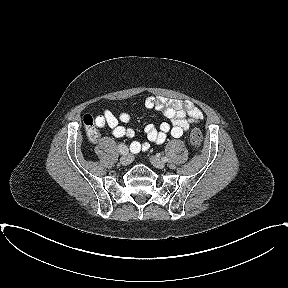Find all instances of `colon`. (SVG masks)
I'll return each mask as SVG.
<instances>
[{
    "label": "colon",
    "mask_w": 288,
    "mask_h": 288,
    "mask_svg": "<svg viewBox=\"0 0 288 288\" xmlns=\"http://www.w3.org/2000/svg\"><path fill=\"white\" fill-rule=\"evenodd\" d=\"M83 123H84L88 138L91 141L97 140L99 137V132L95 126V122L93 118L90 115H85L83 117ZM202 140H203V136H202L201 131L197 127L192 128L190 132V142L192 146L195 149H199L202 145Z\"/></svg>",
    "instance_id": "5ec220e1"
}]
</instances>
